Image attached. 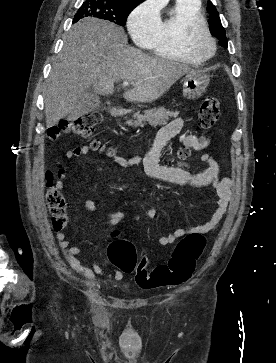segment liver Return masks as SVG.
Masks as SVG:
<instances>
[{
  "label": "liver",
  "instance_id": "1",
  "mask_svg": "<svg viewBox=\"0 0 276 363\" xmlns=\"http://www.w3.org/2000/svg\"><path fill=\"white\" fill-rule=\"evenodd\" d=\"M191 71L187 65L130 47L123 28L114 23L82 19L65 35L53 62L44 92L46 127L69 115L89 88L105 96L113 94L115 82H133L134 87L123 97L131 102H152Z\"/></svg>",
  "mask_w": 276,
  "mask_h": 363
}]
</instances>
